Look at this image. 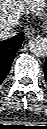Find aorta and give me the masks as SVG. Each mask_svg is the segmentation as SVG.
<instances>
[{"label":"aorta","mask_w":47,"mask_h":129,"mask_svg":"<svg viewBox=\"0 0 47 129\" xmlns=\"http://www.w3.org/2000/svg\"><path fill=\"white\" fill-rule=\"evenodd\" d=\"M29 51L36 57L47 56V39L41 36L33 37L28 43Z\"/></svg>","instance_id":"762f6f07"}]
</instances>
